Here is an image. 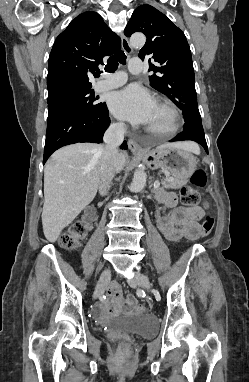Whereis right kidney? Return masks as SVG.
I'll use <instances>...</instances> for the list:
<instances>
[{
	"mask_svg": "<svg viewBox=\"0 0 249 382\" xmlns=\"http://www.w3.org/2000/svg\"><path fill=\"white\" fill-rule=\"evenodd\" d=\"M97 213H98L97 205L89 204L82 218V223L86 224L87 229L94 230L96 228L95 224L97 223L98 220L95 216Z\"/></svg>",
	"mask_w": 249,
	"mask_h": 382,
	"instance_id": "ca27d5eb",
	"label": "right kidney"
}]
</instances>
